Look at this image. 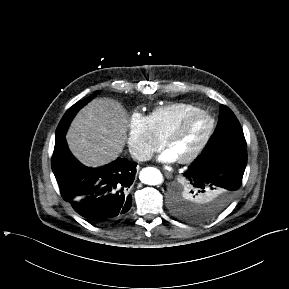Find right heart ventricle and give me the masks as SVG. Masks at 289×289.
Returning a JSON list of instances; mask_svg holds the SVG:
<instances>
[{
    "label": "right heart ventricle",
    "mask_w": 289,
    "mask_h": 289,
    "mask_svg": "<svg viewBox=\"0 0 289 289\" xmlns=\"http://www.w3.org/2000/svg\"><path fill=\"white\" fill-rule=\"evenodd\" d=\"M199 109L191 103L176 102L154 108L148 117L153 131L163 140L183 117Z\"/></svg>",
    "instance_id": "1"
}]
</instances>
